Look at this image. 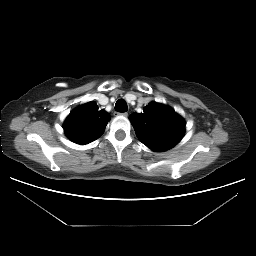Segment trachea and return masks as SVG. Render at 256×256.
<instances>
[{
    "label": "trachea",
    "mask_w": 256,
    "mask_h": 256,
    "mask_svg": "<svg viewBox=\"0 0 256 256\" xmlns=\"http://www.w3.org/2000/svg\"><path fill=\"white\" fill-rule=\"evenodd\" d=\"M115 110L120 113L128 111L127 103L124 99H119L115 104Z\"/></svg>",
    "instance_id": "trachea-1"
}]
</instances>
